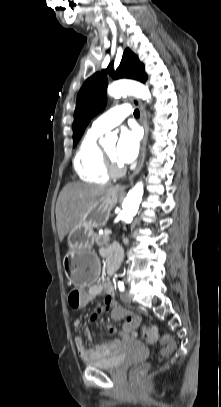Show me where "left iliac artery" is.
Listing matches in <instances>:
<instances>
[{
	"mask_svg": "<svg viewBox=\"0 0 221 407\" xmlns=\"http://www.w3.org/2000/svg\"><path fill=\"white\" fill-rule=\"evenodd\" d=\"M118 288H119L120 291H124V290H125V286H124V283H123L122 281H119V282H118Z\"/></svg>",
	"mask_w": 221,
	"mask_h": 407,
	"instance_id": "1",
	"label": "left iliac artery"
}]
</instances>
